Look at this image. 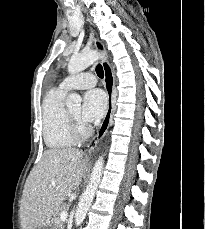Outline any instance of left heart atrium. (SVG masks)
Segmentation results:
<instances>
[{"mask_svg":"<svg viewBox=\"0 0 205 229\" xmlns=\"http://www.w3.org/2000/svg\"><path fill=\"white\" fill-rule=\"evenodd\" d=\"M107 109L106 94L100 89H92L84 95L81 118L86 123L100 119Z\"/></svg>","mask_w":205,"mask_h":229,"instance_id":"obj_1","label":"left heart atrium"}]
</instances>
